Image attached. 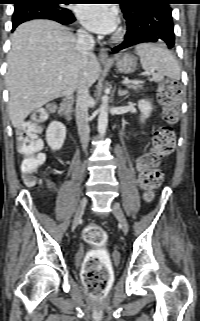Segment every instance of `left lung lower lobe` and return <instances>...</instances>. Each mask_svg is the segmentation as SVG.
I'll list each match as a JSON object with an SVG mask.
<instances>
[{"label": "left lung lower lobe", "instance_id": "0a47b994", "mask_svg": "<svg viewBox=\"0 0 200 321\" xmlns=\"http://www.w3.org/2000/svg\"><path fill=\"white\" fill-rule=\"evenodd\" d=\"M127 24L125 40L112 50L122 49L145 42H158L173 48L175 44L172 9L167 2L146 0L140 6L123 11Z\"/></svg>", "mask_w": 200, "mask_h": 321}]
</instances>
